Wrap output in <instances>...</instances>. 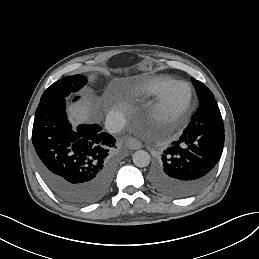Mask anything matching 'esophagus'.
Returning <instances> with one entry per match:
<instances>
[{
    "label": "esophagus",
    "instance_id": "34e87169",
    "mask_svg": "<svg viewBox=\"0 0 259 259\" xmlns=\"http://www.w3.org/2000/svg\"><path fill=\"white\" fill-rule=\"evenodd\" d=\"M126 145L131 150H137V149H140L142 147V143L134 137L128 138V140L126 142Z\"/></svg>",
    "mask_w": 259,
    "mask_h": 259
}]
</instances>
